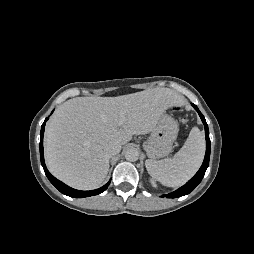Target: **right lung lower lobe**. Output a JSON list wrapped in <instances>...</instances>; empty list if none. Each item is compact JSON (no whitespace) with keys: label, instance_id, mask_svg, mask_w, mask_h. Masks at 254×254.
<instances>
[{"label":"right lung lower lobe","instance_id":"right-lung-lower-lobe-1","mask_svg":"<svg viewBox=\"0 0 254 254\" xmlns=\"http://www.w3.org/2000/svg\"><path fill=\"white\" fill-rule=\"evenodd\" d=\"M48 120V118L45 119L44 123L42 124L41 127V132H40V159H41V164L43 166V169L45 171V174L49 181L64 195L70 196V197H75V198H83V197H89L93 195H97L105 191L110 184V181L102 186L99 189L96 190H91V191H80L73 189L61 181L57 180L54 176L50 174V172L47 170L45 162H44V155H43V134H44V129H45V122Z\"/></svg>","mask_w":254,"mask_h":254}]
</instances>
